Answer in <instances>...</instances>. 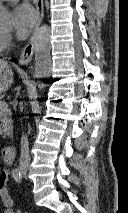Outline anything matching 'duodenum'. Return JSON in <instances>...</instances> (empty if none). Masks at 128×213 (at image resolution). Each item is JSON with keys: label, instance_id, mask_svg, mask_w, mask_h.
Instances as JSON below:
<instances>
[{"label": "duodenum", "instance_id": "duodenum-1", "mask_svg": "<svg viewBox=\"0 0 128 213\" xmlns=\"http://www.w3.org/2000/svg\"><path fill=\"white\" fill-rule=\"evenodd\" d=\"M16 155V147L15 146H6L2 149V159L6 164H10L13 162Z\"/></svg>", "mask_w": 128, "mask_h": 213}]
</instances>
